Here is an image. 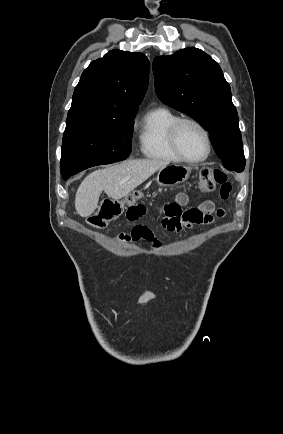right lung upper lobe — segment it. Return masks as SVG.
Instances as JSON below:
<instances>
[{
	"mask_svg": "<svg viewBox=\"0 0 283 434\" xmlns=\"http://www.w3.org/2000/svg\"><path fill=\"white\" fill-rule=\"evenodd\" d=\"M150 62L142 53L114 49L92 61L73 94L67 120L135 115L148 86Z\"/></svg>",
	"mask_w": 283,
	"mask_h": 434,
	"instance_id": "right-lung-upper-lobe-1",
	"label": "right lung upper lobe"
}]
</instances>
